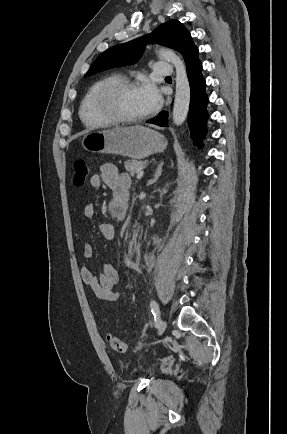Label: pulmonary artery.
Returning a JSON list of instances; mask_svg holds the SVG:
<instances>
[{"label": "pulmonary artery", "mask_w": 287, "mask_h": 434, "mask_svg": "<svg viewBox=\"0 0 287 434\" xmlns=\"http://www.w3.org/2000/svg\"><path fill=\"white\" fill-rule=\"evenodd\" d=\"M154 74L160 76H171L173 74V67L168 63L158 62L153 67Z\"/></svg>", "instance_id": "e3ab8cb5"}]
</instances>
